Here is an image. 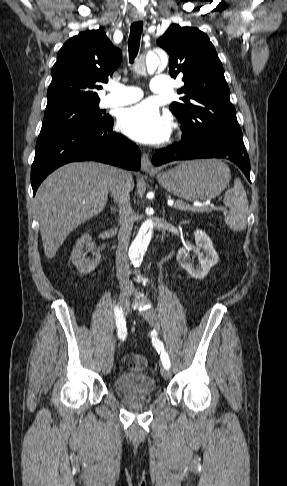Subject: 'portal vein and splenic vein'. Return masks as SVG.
I'll return each instance as SVG.
<instances>
[{
  "label": "portal vein and splenic vein",
  "instance_id": "1",
  "mask_svg": "<svg viewBox=\"0 0 287 486\" xmlns=\"http://www.w3.org/2000/svg\"><path fill=\"white\" fill-rule=\"evenodd\" d=\"M169 206H174L175 208L182 210V211H189V212H205L209 208H213L214 204H212L210 201L205 202L200 205H189L185 203H178L174 204L172 201L168 202ZM221 210H224V208H220Z\"/></svg>",
  "mask_w": 287,
  "mask_h": 486
}]
</instances>
